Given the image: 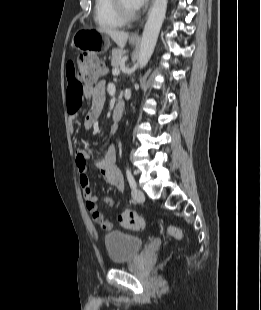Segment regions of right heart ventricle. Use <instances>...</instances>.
<instances>
[{
  "label": "right heart ventricle",
  "instance_id": "e07e8e85",
  "mask_svg": "<svg viewBox=\"0 0 261 310\" xmlns=\"http://www.w3.org/2000/svg\"><path fill=\"white\" fill-rule=\"evenodd\" d=\"M94 21L102 29H116L124 22L115 13L111 0H94Z\"/></svg>",
  "mask_w": 261,
  "mask_h": 310
}]
</instances>
